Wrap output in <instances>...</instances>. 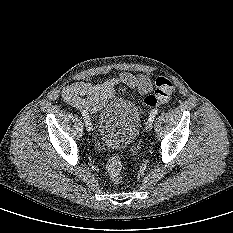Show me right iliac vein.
<instances>
[{
    "mask_svg": "<svg viewBox=\"0 0 233 233\" xmlns=\"http://www.w3.org/2000/svg\"><path fill=\"white\" fill-rule=\"evenodd\" d=\"M86 129L89 132L93 130V127H92L91 123L86 124Z\"/></svg>",
    "mask_w": 233,
    "mask_h": 233,
    "instance_id": "obj_1",
    "label": "right iliac vein"
}]
</instances>
